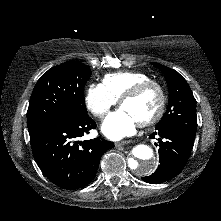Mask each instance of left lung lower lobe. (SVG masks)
<instances>
[{"instance_id": "0a47b994", "label": "left lung lower lobe", "mask_w": 221, "mask_h": 221, "mask_svg": "<svg viewBox=\"0 0 221 221\" xmlns=\"http://www.w3.org/2000/svg\"><path fill=\"white\" fill-rule=\"evenodd\" d=\"M155 129L150 138L159 136L160 165L152 175L142 177L143 181L151 184H159L177 176L185 167L194 142V138L175 127Z\"/></svg>"}]
</instances>
